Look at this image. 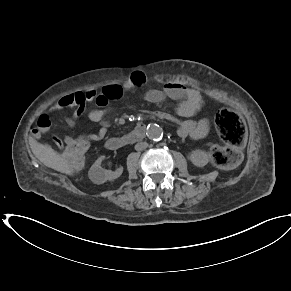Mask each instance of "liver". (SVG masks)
<instances>
[{
    "instance_id": "obj_1",
    "label": "liver",
    "mask_w": 291,
    "mask_h": 291,
    "mask_svg": "<svg viewBox=\"0 0 291 291\" xmlns=\"http://www.w3.org/2000/svg\"><path fill=\"white\" fill-rule=\"evenodd\" d=\"M30 147L35 157L45 166L68 175H73L74 169L64 155L59 154L50 146L40 144L33 139L30 140Z\"/></svg>"
}]
</instances>
